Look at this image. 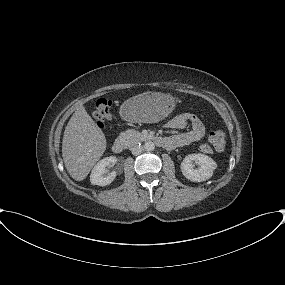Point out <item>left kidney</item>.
<instances>
[{
    "label": "left kidney",
    "instance_id": "obj_1",
    "mask_svg": "<svg viewBox=\"0 0 285 285\" xmlns=\"http://www.w3.org/2000/svg\"><path fill=\"white\" fill-rule=\"evenodd\" d=\"M193 161H196L200 167L195 169ZM217 168L216 162L204 154H190L184 158L181 163L182 174L193 182H202L210 179Z\"/></svg>",
    "mask_w": 285,
    "mask_h": 285
}]
</instances>
